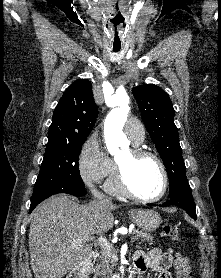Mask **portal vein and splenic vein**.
<instances>
[{"label":"portal vein and splenic vein","instance_id":"portal-vein-and-splenic-vein-1","mask_svg":"<svg viewBox=\"0 0 221 278\" xmlns=\"http://www.w3.org/2000/svg\"><path fill=\"white\" fill-rule=\"evenodd\" d=\"M131 241L134 242V237L131 238ZM74 243H81L82 240H74L73 241ZM99 246L103 249V250H106V251H111L112 249V245L107 241V239H105L104 237H99L98 240H97Z\"/></svg>","mask_w":221,"mask_h":278}]
</instances>
